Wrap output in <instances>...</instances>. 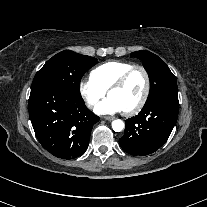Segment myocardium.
<instances>
[{"instance_id":"obj_1","label":"myocardium","mask_w":207,"mask_h":207,"mask_svg":"<svg viewBox=\"0 0 207 207\" xmlns=\"http://www.w3.org/2000/svg\"><path fill=\"white\" fill-rule=\"evenodd\" d=\"M141 72L144 76L145 80V88L142 97L140 100L131 108L127 109L124 111L125 115H133L140 111L143 106L145 105L149 94H150V89H151V82H150V76L146 68L142 65H134L130 69H128L125 73H123L109 88H108V94L110 91L114 89L121 88L122 86L125 85V83L128 81L130 76L135 73V72Z\"/></svg>"}]
</instances>
